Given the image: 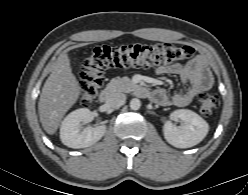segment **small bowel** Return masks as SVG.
Here are the masks:
<instances>
[{
  "instance_id": "1",
  "label": "small bowel",
  "mask_w": 248,
  "mask_h": 195,
  "mask_svg": "<svg viewBox=\"0 0 248 195\" xmlns=\"http://www.w3.org/2000/svg\"><path fill=\"white\" fill-rule=\"evenodd\" d=\"M156 72L159 75H177L182 83V88L172 96L163 89L152 92V99L162 106L185 107L213 85V76L201 57L185 64L163 65L158 67Z\"/></svg>"
}]
</instances>
